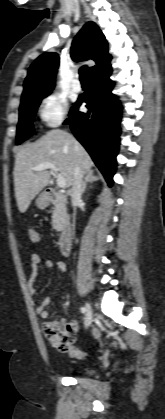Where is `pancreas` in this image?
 I'll list each match as a JSON object with an SVG mask.
<instances>
[{
	"mask_svg": "<svg viewBox=\"0 0 165 419\" xmlns=\"http://www.w3.org/2000/svg\"><path fill=\"white\" fill-rule=\"evenodd\" d=\"M66 217L65 205L62 203L58 204L52 214V226L55 231L59 232L62 230Z\"/></svg>",
	"mask_w": 165,
	"mask_h": 419,
	"instance_id": "obj_1",
	"label": "pancreas"
}]
</instances>
